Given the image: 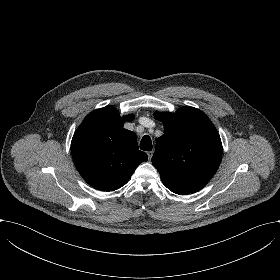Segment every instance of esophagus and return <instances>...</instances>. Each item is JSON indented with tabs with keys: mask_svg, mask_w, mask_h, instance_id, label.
I'll use <instances>...</instances> for the list:
<instances>
[{
	"mask_svg": "<svg viewBox=\"0 0 280 280\" xmlns=\"http://www.w3.org/2000/svg\"><path fill=\"white\" fill-rule=\"evenodd\" d=\"M153 151H149V152H147V155H148V160L150 161L151 160V158H152V156H153Z\"/></svg>",
	"mask_w": 280,
	"mask_h": 280,
	"instance_id": "esophagus-1",
	"label": "esophagus"
}]
</instances>
